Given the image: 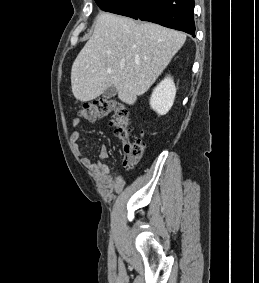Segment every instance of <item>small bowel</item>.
I'll use <instances>...</instances> for the list:
<instances>
[{"mask_svg": "<svg viewBox=\"0 0 259 283\" xmlns=\"http://www.w3.org/2000/svg\"><path fill=\"white\" fill-rule=\"evenodd\" d=\"M81 125V120L79 118H74L72 121V126L73 128L77 129ZM81 137V134L78 131H74L72 134V140L74 141L75 148L78 152H80V148L78 145V141ZM99 157L100 161L97 163L92 162L88 157L81 156L80 157V162L82 165L85 167L89 168L90 171L95 173L101 181L105 180H111L112 175H111V167L109 164L103 162V159H106L108 157V150L106 147H101L99 151Z\"/></svg>", "mask_w": 259, "mask_h": 283, "instance_id": "obj_1", "label": "small bowel"}]
</instances>
